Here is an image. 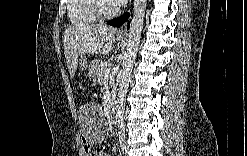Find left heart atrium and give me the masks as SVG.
<instances>
[{"instance_id":"obj_1","label":"left heart atrium","mask_w":247,"mask_h":156,"mask_svg":"<svg viewBox=\"0 0 247 156\" xmlns=\"http://www.w3.org/2000/svg\"><path fill=\"white\" fill-rule=\"evenodd\" d=\"M126 1L125 0H113L112 3L114 5H123Z\"/></svg>"}]
</instances>
